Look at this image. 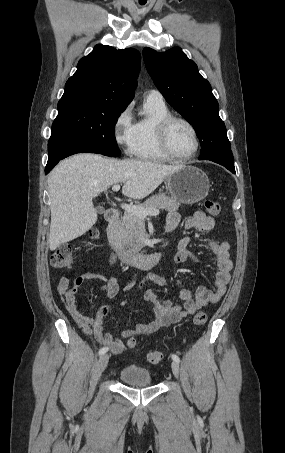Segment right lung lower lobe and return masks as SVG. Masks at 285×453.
Listing matches in <instances>:
<instances>
[{
  "label": "right lung lower lobe",
  "instance_id": "1",
  "mask_svg": "<svg viewBox=\"0 0 285 453\" xmlns=\"http://www.w3.org/2000/svg\"><path fill=\"white\" fill-rule=\"evenodd\" d=\"M81 152L96 153L92 147L64 131L52 130L48 143V162L45 168V174L49 173L61 159Z\"/></svg>",
  "mask_w": 285,
  "mask_h": 453
}]
</instances>
